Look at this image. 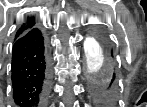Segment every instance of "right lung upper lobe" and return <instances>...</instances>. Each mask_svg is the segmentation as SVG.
Here are the masks:
<instances>
[{
  "label": "right lung upper lobe",
  "mask_w": 147,
  "mask_h": 107,
  "mask_svg": "<svg viewBox=\"0 0 147 107\" xmlns=\"http://www.w3.org/2000/svg\"><path fill=\"white\" fill-rule=\"evenodd\" d=\"M34 25H35V19H33V18L32 19H29V18L26 19V21L21 25V27L16 32L15 39L19 38L20 36H22L26 32L33 29Z\"/></svg>",
  "instance_id": "1"
}]
</instances>
